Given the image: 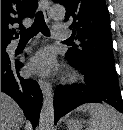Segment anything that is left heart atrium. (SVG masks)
<instances>
[{"mask_svg":"<svg viewBox=\"0 0 123 130\" xmlns=\"http://www.w3.org/2000/svg\"><path fill=\"white\" fill-rule=\"evenodd\" d=\"M56 65L54 54L49 49H42L29 62V69L34 73L49 74Z\"/></svg>","mask_w":123,"mask_h":130,"instance_id":"left-heart-atrium-1","label":"left heart atrium"}]
</instances>
